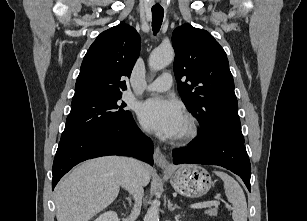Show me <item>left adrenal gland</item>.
Instances as JSON below:
<instances>
[{"label":"left adrenal gland","instance_id":"left-adrenal-gland-1","mask_svg":"<svg viewBox=\"0 0 307 221\" xmlns=\"http://www.w3.org/2000/svg\"><path fill=\"white\" fill-rule=\"evenodd\" d=\"M168 209L172 212L175 209H180V207L177 204H172L170 201H168Z\"/></svg>","mask_w":307,"mask_h":221}]
</instances>
